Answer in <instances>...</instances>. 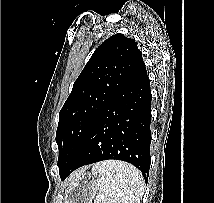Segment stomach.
Returning a JSON list of instances; mask_svg holds the SVG:
<instances>
[{"instance_id":"1","label":"stomach","mask_w":214,"mask_h":203,"mask_svg":"<svg viewBox=\"0 0 214 203\" xmlns=\"http://www.w3.org/2000/svg\"><path fill=\"white\" fill-rule=\"evenodd\" d=\"M99 191L98 177L85 172L67 185L62 203H92Z\"/></svg>"}]
</instances>
